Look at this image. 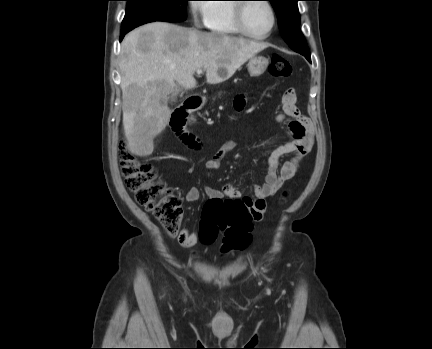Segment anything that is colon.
Wrapping results in <instances>:
<instances>
[{
	"label": "colon",
	"instance_id": "obj_1",
	"mask_svg": "<svg viewBox=\"0 0 432 349\" xmlns=\"http://www.w3.org/2000/svg\"><path fill=\"white\" fill-rule=\"evenodd\" d=\"M269 73L276 78H287L292 74V67L284 56L275 54ZM119 161L125 184L137 203L152 213L168 234H177L183 214L180 197L158 178L154 166L140 162L132 154L126 142L120 145ZM252 229V213L246 202L228 198L209 200L205 204L200 226V240L204 244L214 242L221 232L223 252L241 250L250 244Z\"/></svg>",
	"mask_w": 432,
	"mask_h": 349
}]
</instances>
